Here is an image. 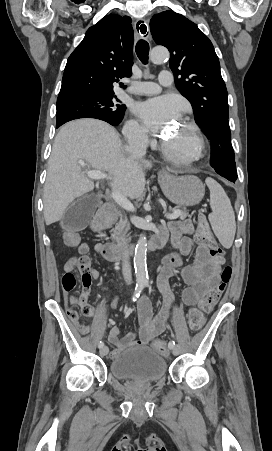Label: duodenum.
I'll list each match as a JSON object with an SVG mask.
<instances>
[{
  "label": "duodenum",
  "mask_w": 272,
  "mask_h": 451,
  "mask_svg": "<svg viewBox=\"0 0 272 451\" xmlns=\"http://www.w3.org/2000/svg\"><path fill=\"white\" fill-rule=\"evenodd\" d=\"M117 216L118 212L116 207L112 204H105L99 210L92 224V227L96 231L102 230L111 225L112 223H114L115 220L117 219ZM163 245L164 239L160 236H154L148 242V249L149 250L159 249ZM131 251H132L131 249H127L123 246L109 244L102 245L99 253L102 255L104 259L108 261H119L125 256L129 255Z\"/></svg>",
  "instance_id": "410a0bca"
}]
</instances>
